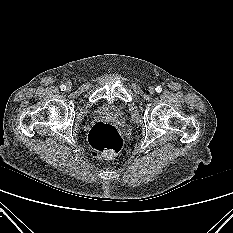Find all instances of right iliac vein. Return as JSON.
I'll return each mask as SVG.
<instances>
[{
  "label": "right iliac vein",
  "instance_id": "right-iliac-vein-1",
  "mask_svg": "<svg viewBox=\"0 0 233 233\" xmlns=\"http://www.w3.org/2000/svg\"><path fill=\"white\" fill-rule=\"evenodd\" d=\"M72 88V83L68 82L67 83V90H70Z\"/></svg>",
  "mask_w": 233,
  "mask_h": 233
}]
</instances>
